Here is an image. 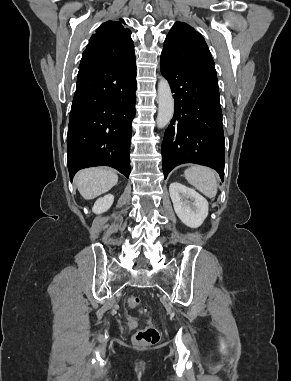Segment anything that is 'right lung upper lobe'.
Listing matches in <instances>:
<instances>
[{
	"label": "right lung upper lobe",
	"mask_w": 291,
	"mask_h": 381,
	"mask_svg": "<svg viewBox=\"0 0 291 381\" xmlns=\"http://www.w3.org/2000/svg\"><path fill=\"white\" fill-rule=\"evenodd\" d=\"M124 24V20H119L100 25L83 52L81 63L117 61L133 54L131 31Z\"/></svg>",
	"instance_id": "1"
}]
</instances>
